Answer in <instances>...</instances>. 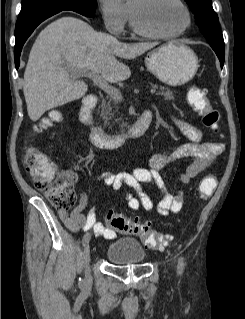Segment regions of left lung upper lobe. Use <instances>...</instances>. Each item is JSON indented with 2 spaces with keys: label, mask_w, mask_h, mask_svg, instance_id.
Instances as JSON below:
<instances>
[{
  "label": "left lung upper lobe",
  "mask_w": 245,
  "mask_h": 319,
  "mask_svg": "<svg viewBox=\"0 0 245 319\" xmlns=\"http://www.w3.org/2000/svg\"><path fill=\"white\" fill-rule=\"evenodd\" d=\"M195 15L197 25L211 47L225 50L218 16L213 10L211 0H185Z\"/></svg>",
  "instance_id": "1"
}]
</instances>
